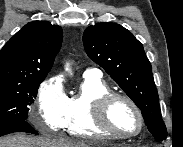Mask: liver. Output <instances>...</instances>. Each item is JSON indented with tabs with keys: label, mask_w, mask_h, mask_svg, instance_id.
<instances>
[{
	"label": "liver",
	"mask_w": 183,
	"mask_h": 147,
	"mask_svg": "<svg viewBox=\"0 0 183 147\" xmlns=\"http://www.w3.org/2000/svg\"><path fill=\"white\" fill-rule=\"evenodd\" d=\"M96 142H83L70 139L35 138L16 134L0 139V147H95Z\"/></svg>",
	"instance_id": "1"
}]
</instances>
